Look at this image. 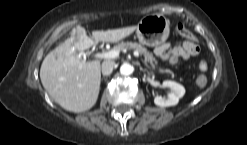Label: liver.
I'll use <instances>...</instances> for the list:
<instances>
[{"mask_svg": "<svg viewBox=\"0 0 247 145\" xmlns=\"http://www.w3.org/2000/svg\"><path fill=\"white\" fill-rule=\"evenodd\" d=\"M137 26L93 31V38L78 26L71 37L44 58L40 79L50 97L67 111L79 113L91 109L98 98L101 80L99 60L86 61L78 52L98 42L116 43L131 35Z\"/></svg>", "mask_w": 247, "mask_h": 145, "instance_id": "1", "label": "liver"}]
</instances>
